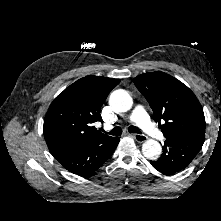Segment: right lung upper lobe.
I'll list each match as a JSON object with an SVG mask.
<instances>
[{
    "instance_id": "cb5924a9",
    "label": "right lung upper lobe",
    "mask_w": 221,
    "mask_h": 221,
    "mask_svg": "<svg viewBox=\"0 0 221 221\" xmlns=\"http://www.w3.org/2000/svg\"><path fill=\"white\" fill-rule=\"evenodd\" d=\"M119 82V79L86 76L53 100L44 120V137L52 154L110 138L93 124L102 121L101 106Z\"/></svg>"
}]
</instances>
